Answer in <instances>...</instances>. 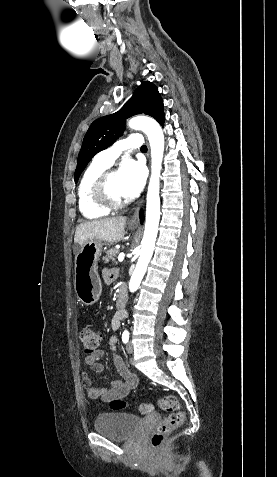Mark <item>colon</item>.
<instances>
[{"instance_id": "1", "label": "colon", "mask_w": 277, "mask_h": 477, "mask_svg": "<svg viewBox=\"0 0 277 477\" xmlns=\"http://www.w3.org/2000/svg\"><path fill=\"white\" fill-rule=\"evenodd\" d=\"M79 338L84 354L92 355L101 344L102 334L91 325H84L80 330ZM158 405L168 415L153 430L151 435V445L153 448H159L171 431L180 427L185 420V414L176 396L166 395L161 397L158 400ZM127 406L128 404L122 399H115L110 402V407L113 410H123ZM138 409L140 413L147 414L152 411V405L142 403L138 406Z\"/></svg>"}]
</instances>
